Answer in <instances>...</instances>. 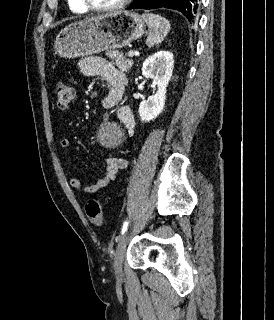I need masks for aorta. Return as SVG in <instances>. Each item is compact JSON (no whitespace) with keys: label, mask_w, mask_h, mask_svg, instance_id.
Returning a JSON list of instances; mask_svg holds the SVG:
<instances>
[{"label":"aorta","mask_w":274,"mask_h":320,"mask_svg":"<svg viewBox=\"0 0 274 320\" xmlns=\"http://www.w3.org/2000/svg\"><path fill=\"white\" fill-rule=\"evenodd\" d=\"M121 134V130L116 124H109L99 130L98 138L101 143L106 146H114Z\"/></svg>","instance_id":"aorta-1"}]
</instances>
